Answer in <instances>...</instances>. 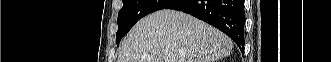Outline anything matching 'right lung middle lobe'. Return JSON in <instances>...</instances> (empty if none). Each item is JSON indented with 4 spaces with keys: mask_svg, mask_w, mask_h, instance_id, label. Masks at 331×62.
<instances>
[{
    "mask_svg": "<svg viewBox=\"0 0 331 62\" xmlns=\"http://www.w3.org/2000/svg\"><path fill=\"white\" fill-rule=\"evenodd\" d=\"M173 0H122L123 7L118 14V30L116 33L117 46L122 37L142 17L163 9Z\"/></svg>",
    "mask_w": 331,
    "mask_h": 62,
    "instance_id": "right-lung-middle-lobe-1",
    "label": "right lung middle lobe"
}]
</instances>
